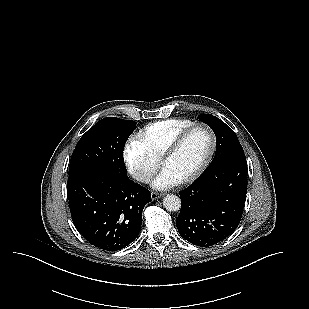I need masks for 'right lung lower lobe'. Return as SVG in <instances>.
Masks as SVG:
<instances>
[{
	"label": "right lung lower lobe",
	"mask_w": 309,
	"mask_h": 309,
	"mask_svg": "<svg viewBox=\"0 0 309 309\" xmlns=\"http://www.w3.org/2000/svg\"><path fill=\"white\" fill-rule=\"evenodd\" d=\"M67 194L73 223L92 245L117 251L132 243L142 225L151 193L127 178L98 169L68 177Z\"/></svg>",
	"instance_id": "1"
}]
</instances>
